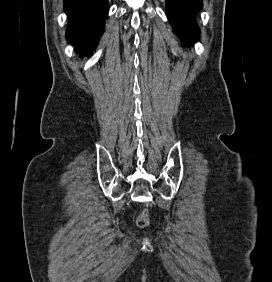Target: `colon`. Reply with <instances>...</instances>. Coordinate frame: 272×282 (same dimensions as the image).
<instances>
[{"instance_id": "obj_1", "label": "colon", "mask_w": 272, "mask_h": 282, "mask_svg": "<svg viewBox=\"0 0 272 282\" xmlns=\"http://www.w3.org/2000/svg\"><path fill=\"white\" fill-rule=\"evenodd\" d=\"M137 223H138V225H139L140 227H145V226H147V224H148V217H147V213H146L145 211H143V212L141 213V215H140L139 218H138Z\"/></svg>"}]
</instances>
